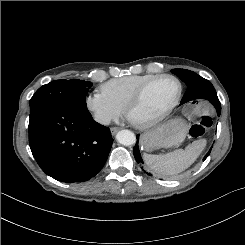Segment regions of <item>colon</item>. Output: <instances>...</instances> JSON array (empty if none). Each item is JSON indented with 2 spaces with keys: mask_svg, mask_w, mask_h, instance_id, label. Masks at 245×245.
<instances>
[{
  "mask_svg": "<svg viewBox=\"0 0 245 245\" xmlns=\"http://www.w3.org/2000/svg\"><path fill=\"white\" fill-rule=\"evenodd\" d=\"M212 126V120L209 116L202 115L196 124H194L189 131L192 138H199Z\"/></svg>",
  "mask_w": 245,
  "mask_h": 245,
  "instance_id": "obj_1",
  "label": "colon"
}]
</instances>
